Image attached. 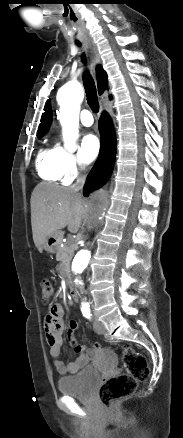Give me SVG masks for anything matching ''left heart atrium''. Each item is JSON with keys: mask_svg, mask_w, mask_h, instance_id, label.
I'll return each instance as SVG.
<instances>
[{"mask_svg": "<svg viewBox=\"0 0 183 438\" xmlns=\"http://www.w3.org/2000/svg\"><path fill=\"white\" fill-rule=\"evenodd\" d=\"M100 141L94 134H87L81 144V153L85 162H92L99 154Z\"/></svg>", "mask_w": 183, "mask_h": 438, "instance_id": "1", "label": "left heart atrium"}]
</instances>
